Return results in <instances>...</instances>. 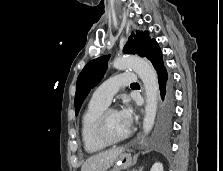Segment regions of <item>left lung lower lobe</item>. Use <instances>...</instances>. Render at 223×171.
Wrapping results in <instances>:
<instances>
[{
    "mask_svg": "<svg viewBox=\"0 0 223 171\" xmlns=\"http://www.w3.org/2000/svg\"><path fill=\"white\" fill-rule=\"evenodd\" d=\"M146 58L150 60L157 72L161 96L160 116L155 142L161 146H165L172 133V122L175 110L173 79L164 66L162 52L157 42L152 44Z\"/></svg>",
    "mask_w": 223,
    "mask_h": 171,
    "instance_id": "0a47b994",
    "label": "left lung lower lobe"
}]
</instances>
